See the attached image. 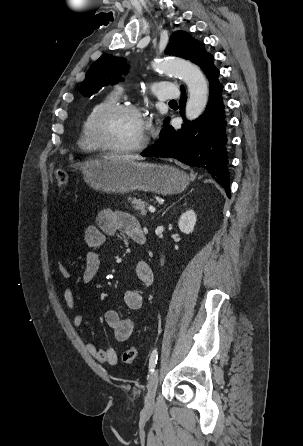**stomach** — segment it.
Listing matches in <instances>:
<instances>
[{
	"label": "stomach",
	"instance_id": "stomach-1",
	"mask_svg": "<svg viewBox=\"0 0 303 446\" xmlns=\"http://www.w3.org/2000/svg\"><path fill=\"white\" fill-rule=\"evenodd\" d=\"M68 168L81 172L91 188L107 193L143 190L168 195L182 192L189 184L188 175L175 167L130 159L79 162L70 158Z\"/></svg>",
	"mask_w": 303,
	"mask_h": 446
}]
</instances>
